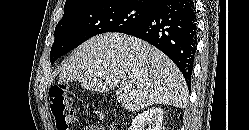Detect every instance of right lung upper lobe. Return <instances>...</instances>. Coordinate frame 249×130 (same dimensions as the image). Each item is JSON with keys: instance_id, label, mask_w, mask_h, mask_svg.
Here are the masks:
<instances>
[{"instance_id": "1", "label": "right lung upper lobe", "mask_w": 249, "mask_h": 130, "mask_svg": "<svg viewBox=\"0 0 249 130\" xmlns=\"http://www.w3.org/2000/svg\"><path fill=\"white\" fill-rule=\"evenodd\" d=\"M104 1L107 0H66L64 6V12ZM131 1L137 2L144 6H148L151 9H155L157 6H159L161 3L165 2L166 0H131Z\"/></svg>"}]
</instances>
